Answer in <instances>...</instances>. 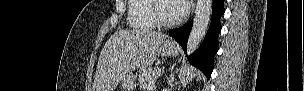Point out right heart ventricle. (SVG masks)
I'll list each match as a JSON object with an SVG mask.
<instances>
[{
    "instance_id": "obj_1",
    "label": "right heart ventricle",
    "mask_w": 304,
    "mask_h": 91,
    "mask_svg": "<svg viewBox=\"0 0 304 91\" xmlns=\"http://www.w3.org/2000/svg\"><path fill=\"white\" fill-rule=\"evenodd\" d=\"M151 2L152 0H129L127 21L132 28L154 29L156 27L150 13Z\"/></svg>"
}]
</instances>
